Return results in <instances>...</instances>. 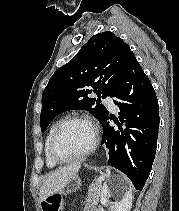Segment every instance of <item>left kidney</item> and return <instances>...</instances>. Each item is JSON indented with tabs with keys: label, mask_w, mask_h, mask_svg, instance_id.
I'll list each match as a JSON object with an SVG mask.
<instances>
[{
	"label": "left kidney",
	"mask_w": 179,
	"mask_h": 211,
	"mask_svg": "<svg viewBox=\"0 0 179 211\" xmlns=\"http://www.w3.org/2000/svg\"><path fill=\"white\" fill-rule=\"evenodd\" d=\"M117 188V185L114 181H110L109 183H104L101 190V198L100 202L102 205L110 207L113 209L112 211H130L132 207V191L123 187L122 190L118 191L116 197L119 199L118 201L112 203L109 198L112 195V191Z\"/></svg>",
	"instance_id": "1"
}]
</instances>
